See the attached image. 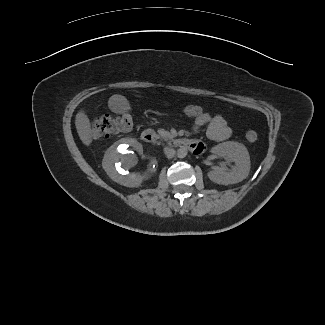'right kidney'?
<instances>
[{
  "instance_id": "obj_1",
  "label": "right kidney",
  "mask_w": 325,
  "mask_h": 325,
  "mask_svg": "<svg viewBox=\"0 0 325 325\" xmlns=\"http://www.w3.org/2000/svg\"><path fill=\"white\" fill-rule=\"evenodd\" d=\"M102 166L113 181L126 187L140 186L153 171L145 162L142 145L132 138H123L110 146Z\"/></svg>"
}]
</instances>
